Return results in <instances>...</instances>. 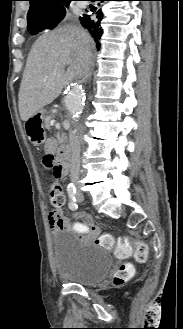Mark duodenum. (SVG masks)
Instances as JSON below:
<instances>
[{
    "mask_svg": "<svg viewBox=\"0 0 183 329\" xmlns=\"http://www.w3.org/2000/svg\"><path fill=\"white\" fill-rule=\"evenodd\" d=\"M59 156L61 163L65 168L71 160V149L68 146H63L60 148Z\"/></svg>",
    "mask_w": 183,
    "mask_h": 329,
    "instance_id": "410a0bca",
    "label": "duodenum"
}]
</instances>
